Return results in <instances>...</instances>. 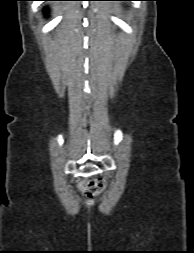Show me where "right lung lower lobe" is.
Masks as SVG:
<instances>
[{
  "label": "right lung lower lobe",
  "mask_w": 194,
  "mask_h": 253,
  "mask_svg": "<svg viewBox=\"0 0 194 253\" xmlns=\"http://www.w3.org/2000/svg\"><path fill=\"white\" fill-rule=\"evenodd\" d=\"M44 1H52V0H44Z\"/></svg>",
  "instance_id": "right-lung-lower-lobe-1"
}]
</instances>
